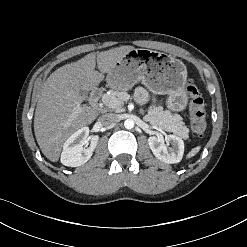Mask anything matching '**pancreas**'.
Masks as SVG:
<instances>
[{
	"label": "pancreas",
	"instance_id": "pancreas-1",
	"mask_svg": "<svg viewBox=\"0 0 247 247\" xmlns=\"http://www.w3.org/2000/svg\"><path fill=\"white\" fill-rule=\"evenodd\" d=\"M129 98L130 95L125 91L110 90L109 93L104 94L103 102L110 110L122 112L123 104ZM113 100L118 101L117 106H111L109 104ZM144 120L162 130L172 132L185 140L189 137V129L184 125L182 117L172 114L169 111H163L162 107H150L148 113L144 116Z\"/></svg>",
	"mask_w": 247,
	"mask_h": 247
}]
</instances>
